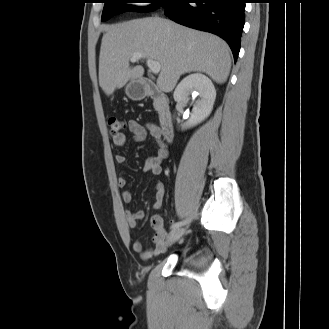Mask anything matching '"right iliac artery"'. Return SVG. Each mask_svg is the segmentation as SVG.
<instances>
[{
    "label": "right iliac artery",
    "mask_w": 329,
    "mask_h": 329,
    "mask_svg": "<svg viewBox=\"0 0 329 329\" xmlns=\"http://www.w3.org/2000/svg\"><path fill=\"white\" fill-rule=\"evenodd\" d=\"M190 221H191V218H188V219L183 220V221H180V222H176V223L172 224L171 229H175V228L181 227V226L189 223Z\"/></svg>",
    "instance_id": "right-iliac-artery-1"
}]
</instances>
